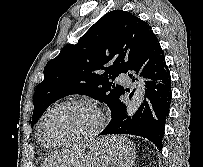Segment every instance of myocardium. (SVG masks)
<instances>
[{
  "label": "myocardium",
  "instance_id": "myocardium-1",
  "mask_svg": "<svg viewBox=\"0 0 203 167\" xmlns=\"http://www.w3.org/2000/svg\"><path fill=\"white\" fill-rule=\"evenodd\" d=\"M66 105H82V106H85V107L91 109L95 113V115L97 117L96 125L89 132L85 133L84 135H82V136H80L78 138L63 141V142H59V143H48V142H46V140L44 138V135H43V126H44V123H45L46 119L48 118V116L51 113H53L57 109H59V108H61L63 106H66ZM104 124H105V117H104L103 112L100 110V108L98 106H96L90 100H87L85 98L66 99V100H63L60 103L54 105L53 107H51L42 116V118H41V120L39 122V125H38V137H39L40 143L45 147H64V146H69V145H73V144H77V143H81V142L91 140L92 138H94L95 136H97L101 132V130L104 127Z\"/></svg>",
  "mask_w": 203,
  "mask_h": 167
}]
</instances>
